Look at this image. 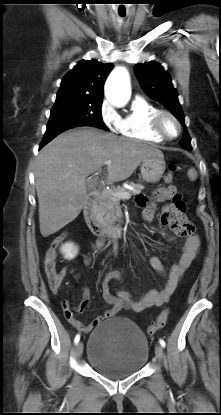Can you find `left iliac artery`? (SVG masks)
I'll use <instances>...</instances> for the list:
<instances>
[{
	"instance_id": "obj_1",
	"label": "left iliac artery",
	"mask_w": 221,
	"mask_h": 415,
	"mask_svg": "<svg viewBox=\"0 0 221 415\" xmlns=\"http://www.w3.org/2000/svg\"><path fill=\"white\" fill-rule=\"evenodd\" d=\"M159 343H160V345H161L162 347H165V345H166V343H165V341H164L163 339H160V340H159Z\"/></svg>"
}]
</instances>
